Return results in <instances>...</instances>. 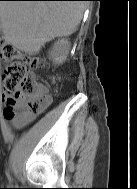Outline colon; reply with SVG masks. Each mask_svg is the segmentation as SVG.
<instances>
[{
	"instance_id": "5ec220e1",
	"label": "colon",
	"mask_w": 137,
	"mask_h": 189,
	"mask_svg": "<svg viewBox=\"0 0 137 189\" xmlns=\"http://www.w3.org/2000/svg\"><path fill=\"white\" fill-rule=\"evenodd\" d=\"M13 49L10 45H2L0 48L1 57H11ZM35 83L28 76L24 65L11 63L4 75V92L8 95L23 97L25 102L35 109L41 108V99L35 92Z\"/></svg>"
}]
</instances>
